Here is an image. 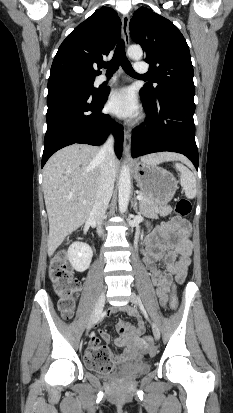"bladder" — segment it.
I'll list each match as a JSON object with an SVG mask.
<instances>
[{"instance_id": "bladder-1", "label": "bladder", "mask_w": 233, "mask_h": 413, "mask_svg": "<svg viewBox=\"0 0 233 413\" xmlns=\"http://www.w3.org/2000/svg\"><path fill=\"white\" fill-rule=\"evenodd\" d=\"M150 367L147 364L139 363L135 366L129 367L125 371L115 374L110 372H103L104 376L107 378H116L121 380H126L134 377H139L146 374L149 371Z\"/></svg>"}]
</instances>
